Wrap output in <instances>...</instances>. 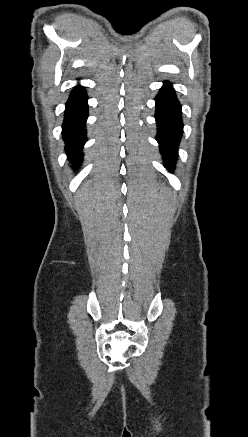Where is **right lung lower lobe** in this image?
Instances as JSON below:
<instances>
[{
    "mask_svg": "<svg viewBox=\"0 0 248 437\" xmlns=\"http://www.w3.org/2000/svg\"><path fill=\"white\" fill-rule=\"evenodd\" d=\"M87 100L88 97L84 89L77 86L66 103L62 134L66 141V151L73 167H77L81 163V151L86 141Z\"/></svg>",
    "mask_w": 248,
    "mask_h": 437,
    "instance_id": "1",
    "label": "right lung lower lobe"
}]
</instances>
